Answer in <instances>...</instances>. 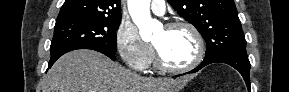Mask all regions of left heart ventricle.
<instances>
[{"mask_svg": "<svg viewBox=\"0 0 289 92\" xmlns=\"http://www.w3.org/2000/svg\"><path fill=\"white\" fill-rule=\"evenodd\" d=\"M153 43L165 62L171 66L188 65L197 53L196 41L185 28H163L156 33Z\"/></svg>", "mask_w": 289, "mask_h": 92, "instance_id": "b2bd125f", "label": "left heart ventricle"}]
</instances>
